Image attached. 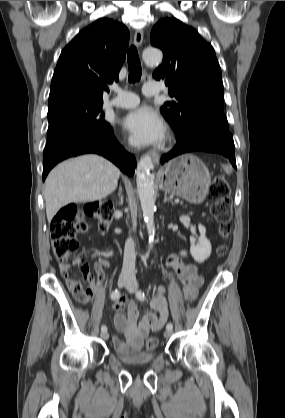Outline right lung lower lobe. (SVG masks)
<instances>
[{"mask_svg": "<svg viewBox=\"0 0 285 418\" xmlns=\"http://www.w3.org/2000/svg\"><path fill=\"white\" fill-rule=\"evenodd\" d=\"M86 153L102 155L128 176L134 174L136 159L120 146L111 128L101 132L75 131L48 143L43 152V180L60 161Z\"/></svg>", "mask_w": 285, "mask_h": 418, "instance_id": "right-lung-lower-lobe-1", "label": "right lung lower lobe"}]
</instances>
